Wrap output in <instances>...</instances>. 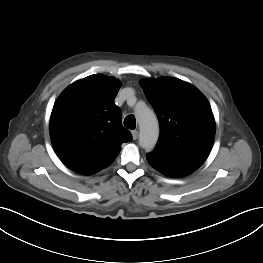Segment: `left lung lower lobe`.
<instances>
[{"label":"left lung lower lobe","instance_id":"1","mask_svg":"<svg viewBox=\"0 0 263 263\" xmlns=\"http://www.w3.org/2000/svg\"><path fill=\"white\" fill-rule=\"evenodd\" d=\"M148 163L169 177L186 176L198 169L205 160L199 158L174 157L157 151L146 154Z\"/></svg>","mask_w":263,"mask_h":263}]
</instances>
